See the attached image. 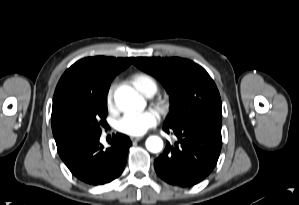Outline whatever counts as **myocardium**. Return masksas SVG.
<instances>
[{"label":"myocardium","instance_id":"f54148a6","mask_svg":"<svg viewBox=\"0 0 299 205\" xmlns=\"http://www.w3.org/2000/svg\"><path fill=\"white\" fill-rule=\"evenodd\" d=\"M157 108L162 114H166L168 112L169 106L165 100H160L157 102Z\"/></svg>","mask_w":299,"mask_h":205}]
</instances>
